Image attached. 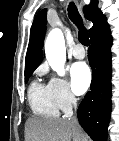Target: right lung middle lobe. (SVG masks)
Masks as SVG:
<instances>
[{
	"label": "right lung middle lobe",
	"instance_id": "1",
	"mask_svg": "<svg viewBox=\"0 0 119 141\" xmlns=\"http://www.w3.org/2000/svg\"><path fill=\"white\" fill-rule=\"evenodd\" d=\"M32 73H33V72H26V73H25V82L28 81V79H29V77L31 76Z\"/></svg>",
	"mask_w": 119,
	"mask_h": 141
}]
</instances>
